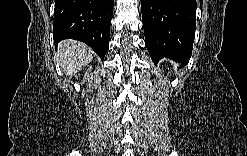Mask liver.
<instances>
[{"instance_id": "6515ba94", "label": "liver", "mask_w": 247, "mask_h": 156, "mask_svg": "<svg viewBox=\"0 0 247 156\" xmlns=\"http://www.w3.org/2000/svg\"><path fill=\"white\" fill-rule=\"evenodd\" d=\"M93 51L84 43L65 40L58 46L57 60L67 75H75L94 58Z\"/></svg>"}]
</instances>
